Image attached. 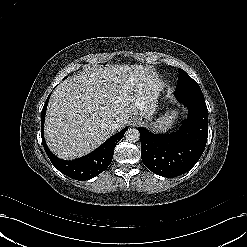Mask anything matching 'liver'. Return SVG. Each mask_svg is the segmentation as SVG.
Here are the masks:
<instances>
[{
  "mask_svg": "<svg viewBox=\"0 0 247 247\" xmlns=\"http://www.w3.org/2000/svg\"><path fill=\"white\" fill-rule=\"evenodd\" d=\"M161 84L142 65H94L69 77L53 91L45 119V139L61 159L90 153L115 131L111 120L123 128L132 116L152 119Z\"/></svg>",
  "mask_w": 247,
  "mask_h": 247,
  "instance_id": "1",
  "label": "liver"
}]
</instances>
